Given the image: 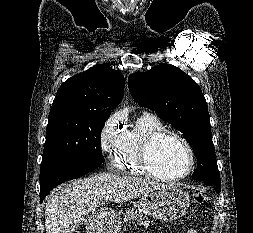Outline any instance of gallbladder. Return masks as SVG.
Masks as SVG:
<instances>
[{
	"mask_svg": "<svg viewBox=\"0 0 253 233\" xmlns=\"http://www.w3.org/2000/svg\"><path fill=\"white\" fill-rule=\"evenodd\" d=\"M87 222V219H83L80 223L85 224Z\"/></svg>",
	"mask_w": 253,
	"mask_h": 233,
	"instance_id": "bac80fb5",
	"label": "gallbladder"
}]
</instances>
